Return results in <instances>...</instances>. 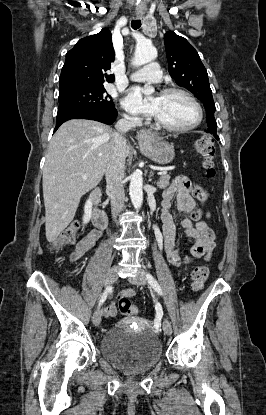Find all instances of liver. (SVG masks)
I'll return each instance as SVG.
<instances>
[{
  "label": "liver",
  "mask_w": 266,
  "mask_h": 415,
  "mask_svg": "<svg viewBox=\"0 0 266 415\" xmlns=\"http://www.w3.org/2000/svg\"><path fill=\"white\" fill-rule=\"evenodd\" d=\"M113 133L97 121L72 119L52 137L42 180L48 242L57 239L73 220L81 197L102 180ZM129 149L126 145V155Z\"/></svg>",
  "instance_id": "1"
}]
</instances>
